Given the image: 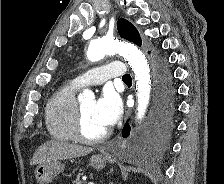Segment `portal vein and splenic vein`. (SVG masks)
<instances>
[{
	"label": "portal vein and splenic vein",
	"instance_id": "18ae733b",
	"mask_svg": "<svg viewBox=\"0 0 224 184\" xmlns=\"http://www.w3.org/2000/svg\"><path fill=\"white\" fill-rule=\"evenodd\" d=\"M88 184H94V182H89Z\"/></svg>",
	"mask_w": 224,
	"mask_h": 184
}]
</instances>
